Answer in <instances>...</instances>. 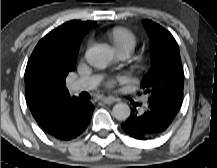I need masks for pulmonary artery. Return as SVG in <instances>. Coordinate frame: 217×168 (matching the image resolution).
I'll return each mask as SVG.
<instances>
[{
    "label": "pulmonary artery",
    "mask_w": 217,
    "mask_h": 168,
    "mask_svg": "<svg viewBox=\"0 0 217 168\" xmlns=\"http://www.w3.org/2000/svg\"><path fill=\"white\" fill-rule=\"evenodd\" d=\"M115 55L118 59H124L127 54L122 50H116ZM101 79H102L101 75H91L78 80L75 83V87L76 88L93 87L97 85L101 81Z\"/></svg>",
    "instance_id": "e3ab8cb5"
}]
</instances>
